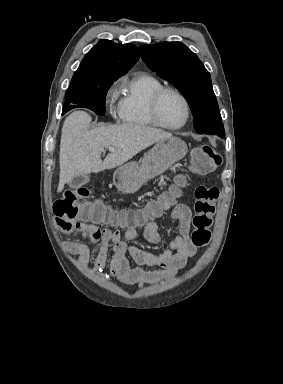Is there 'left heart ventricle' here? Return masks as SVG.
<instances>
[{
  "label": "left heart ventricle",
  "mask_w": 283,
  "mask_h": 384,
  "mask_svg": "<svg viewBox=\"0 0 283 384\" xmlns=\"http://www.w3.org/2000/svg\"><path fill=\"white\" fill-rule=\"evenodd\" d=\"M158 114L162 123L170 127L182 124L186 116L183 102L173 93H166L162 97Z\"/></svg>",
  "instance_id": "obj_1"
}]
</instances>
